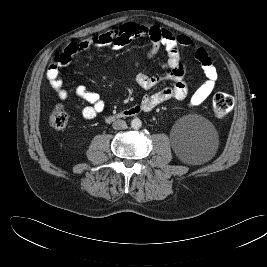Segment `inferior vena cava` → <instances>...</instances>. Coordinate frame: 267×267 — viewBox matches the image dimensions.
I'll return each instance as SVG.
<instances>
[{
	"mask_svg": "<svg viewBox=\"0 0 267 267\" xmlns=\"http://www.w3.org/2000/svg\"><path fill=\"white\" fill-rule=\"evenodd\" d=\"M112 127L115 130H123L127 128V124L124 120H116L113 122Z\"/></svg>",
	"mask_w": 267,
	"mask_h": 267,
	"instance_id": "obj_1",
	"label": "inferior vena cava"
}]
</instances>
